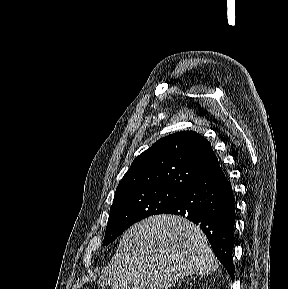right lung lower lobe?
<instances>
[{
  "mask_svg": "<svg viewBox=\"0 0 288 289\" xmlns=\"http://www.w3.org/2000/svg\"><path fill=\"white\" fill-rule=\"evenodd\" d=\"M164 213L180 215L200 225L215 255L234 279L235 199L219 164L185 189L181 199Z\"/></svg>",
  "mask_w": 288,
  "mask_h": 289,
  "instance_id": "obj_1",
  "label": "right lung lower lobe"
}]
</instances>
